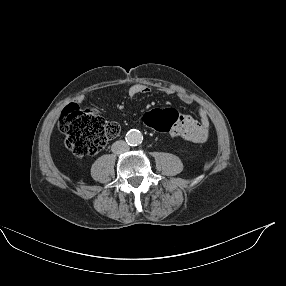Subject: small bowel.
Listing matches in <instances>:
<instances>
[{"instance_id": "small-bowel-1", "label": "small bowel", "mask_w": 286, "mask_h": 286, "mask_svg": "<svg viewBox=\"0 0 286 286\" xmlns=\"http://www.w3.org/2000/svg\"><path fill=\"white\" fill-rule=\"evenodd\" d=\"M149 92L150 88L148 86L142 83H135L129 87L127 94L129 99L132 100L138 95L147 94ZM180 97L185 103L191 102V97L188 94H181ZM180 117V120L169 130L173 137H180L192 143H203L207 140L210 119L205 110H199V121L194 120L188 115L180 114Z\"/></svg>"}]
</instances>
